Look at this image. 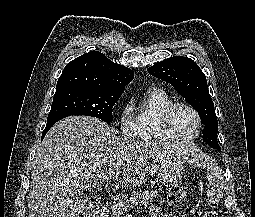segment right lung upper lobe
Instances as JSON below:
<instances>
[{
    "label": "right lung upper lobe",
    "mask_w": 255,
    "mask_h": 217,
    "mask_svg": "<svg viewBox=\"0 0 255 217\" xmlns=\"http://www.w3.org/2000/svg\"><path fill=\"white\" fill-rule=\"evenodd\" d=\"M133 75L132 70L113 63L103 53L91 51L65 66L56 89L84 87L99 91L123 92Z\"/></svg>",
    "instance_id": "obj_1"
}]
</instances>
